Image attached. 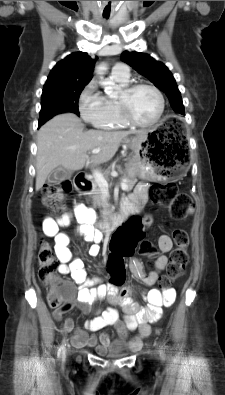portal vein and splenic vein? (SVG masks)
Masks as SVG:
<instances>
[{"mask_svg": "<svg viewBox=\"0 0 225 395\" xmlns=\"http://www.w3.org/2000/svg\"><path fill=\"white\" fill-rule=\"evenodd\" d=\"M101 151L100 148L93 149L92 154H97ZM93 176L95 181L97 182L98 186L101 188V190L107 191L108 190V182L104 178L103 174L99 172L98 170H93ZM120 187L122 190H127L128 185L125 182L120 183Z\"/></svg>", "mask_w": 225, "mask_h": 395, "instance_id": "portal-vein-and-splenic-vein-1", "label": "portal vein and splenic vein"}]
</instances>
